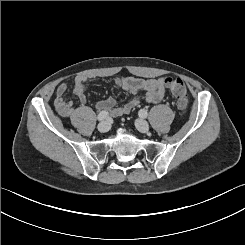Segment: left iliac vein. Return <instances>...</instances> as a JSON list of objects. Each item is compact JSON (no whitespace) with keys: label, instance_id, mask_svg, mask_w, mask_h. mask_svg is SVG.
I'll list each match as a JSON object with an SVG mask.
<instances>
[{"label":"left iliac vein","instance_id":"left-iliac-vein-1","mask_svg":"<svg viewBox=\"0 0 245 245\" xmlns=\"http://www.w3.org/2000/svg\"><path fill=\"white\" fill-rule=\"evenodd\" d=\"M135 126L142 133H148L149 131L148 123L142 118H139L135 121Z\"/></svg>","mask_w":245,"mask_h":245}]
</instances>
